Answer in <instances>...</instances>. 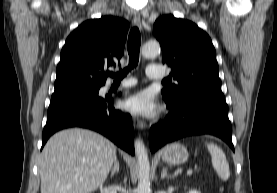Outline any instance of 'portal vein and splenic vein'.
<instances>
[{
	"mask_svg": "<svg viewBox=\"0 0 277 193\" xmlns=\"http://www.w3.org/2000/svg\"><path fill=\"white\" fill-rule=\"evenodd\" d=\"M192 169H189L188 171H187V175H191L192 174Z\"/></svg>",
	"mask_w": 277,
	"mask_h": 193,
	"instance_id": "obj_1",
	"label": "portal vein and splenic vein"
}]
</instances>
